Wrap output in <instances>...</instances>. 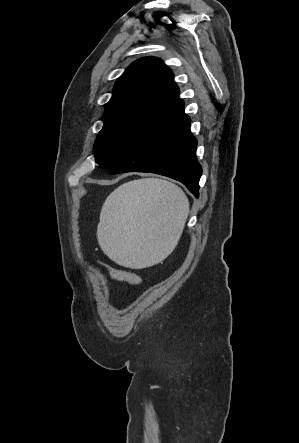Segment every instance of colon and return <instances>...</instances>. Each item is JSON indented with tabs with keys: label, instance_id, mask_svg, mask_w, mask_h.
Returning <instances> with one entry per match:
<instances>
[{
	"label": "colon",
	"instance_id": "obj_1",
	"mask_svg": "<svg viewBox=\"0 0 299 443\" xmlns=\"http://www.w3.org/2000/svg\"><path fill=\"white\" fill-rule=\"evenodd\" d=\"M109 277L115 281L127 283L131 286H138L141 282L140 276L135 272L118 270L112 267L103 266Z\"/></svg>",
	"mask_w": 299,
	"mask_h": 443
}]
</instances>
